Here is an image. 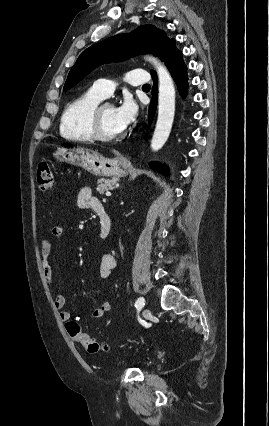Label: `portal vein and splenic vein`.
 <instances>
[{
    "mask_svg": "<svg viewBox=\"0 0 269 426\" xmlns=\"http://www.w3.org/2000/svg\"><path fill=\"white\" fill-rule=\"evenodd\" d=\"M106 196H111V193L110 192H106Z\"/></svg>",
    "mask_w": 269,
    "mask_h": 426,
    "instance_id": "portal-vein-and-splenic-vein-1",
    "label": "portal vein and splenic vein"
}]
</instances>
